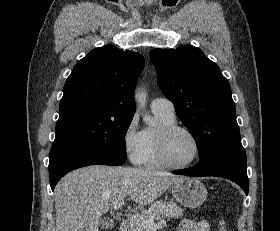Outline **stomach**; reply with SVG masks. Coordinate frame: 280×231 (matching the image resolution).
<instances>
[{
    "label": "stomach",
    "instance_id": "0dacf381",
    "mask_svg": "<svg viewBox=\"0 0 280 231\" xmlns=\"http://www.w3.org/2000/svg\"><path fill=\"white\" fill-rule=\"evenodd\" d=\"M173 197L185 207H199L207 197L204 183L195 177H178L172 185Z\"/></svg>",
    "mask_w": 280,
    "mask_h": 231
}]
</instances>
